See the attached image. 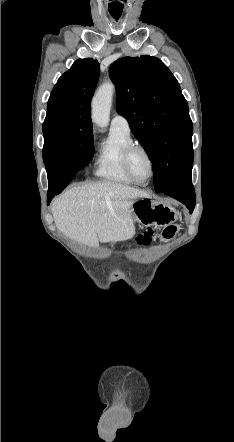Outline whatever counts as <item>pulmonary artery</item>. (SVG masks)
Returning <instances> with one entry per match:
<instances>
[{
  "mask_svg": "<svg viewBox=\"0 0 234 442\" xmlns=\"http://www.w3.org/2000/svg\"><path fill=\"white\" fill-rule=\"evenodd\" d=\"M111 128H117V129H121L124 131H130V125H129L128 120L120 114H116L113 116V118L111 120Z\"/></svg>",
  "mask_w": 234,
  "mask_h": 442,
  "instance_id": "pulmonary-artery-1",
  "label": "pulmonary artery"
}]
</instances>
